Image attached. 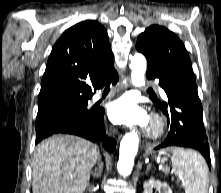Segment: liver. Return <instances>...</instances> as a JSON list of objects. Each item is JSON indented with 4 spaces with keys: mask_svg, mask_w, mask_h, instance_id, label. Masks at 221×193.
Returning a JSON list of instances; mask_svg holds the SVG:
<instances>
[{
    "mask_svg": "<svg viewBox=\"0 0 221 193\" xmlns=\"http://www.w3.org/2000/svg\"><path fill=\"white\" fill-rule=\"evenodd\" d=\"M99 147L72 136L57 135L38 144L32 161L33 193H84Z\"/></svg>",
    "mask_w": 221,
    "mask_h": 193,
    "instance_id": "6515ba94",
    "label": "liver"
}]
</instances>
